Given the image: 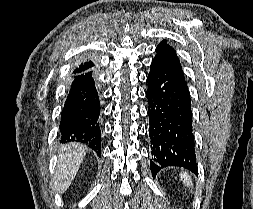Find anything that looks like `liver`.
<instances>
[{
    "instance_id": "liver-1",
    "label": "liver",
    "mask_w": 253,
    "mask_h": 209,
    "mask_svg": "<svg viewBox=\"0 0 253 209\" xmlns=\"http://www.w3.org/2000/svg\"><path fill=\"white\" fill-rule=\"evenodd\" d=\"M87 152V147L80 143H69L61 146L54 177V190L65 192L75 178Z\"/></svg>"
}]
</instances>
